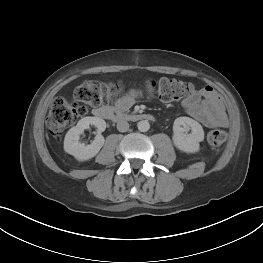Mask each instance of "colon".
<instances>
[{"mask_svg": "<svg viewBox=\"0 0 263 263\" xmlns=\"http://www.w3.org/2000/svg\"><path fill=\"white\" fill-rule=\"evenodd\" d=\"M145 90L149 95H157L164 102H173L188 98L194 93L195 88L189 82L164 77L159 80H148L145 83ZM122 91L123 85L120 82L86 81L75 89L74 98L88 106H100L116 99ZM85 113L86 106L68 102L61 97L55 98L47 119L51 135L60 137L67 127L73 125ZM226 139L227 133L221 129L212 130L207 135L209 145L215 149L220 148Z\"/></svg>", "mask_w": 263, "mask_h": 263, "instance_id": "5ec220e1", "label": "colon"}]
</instances>
